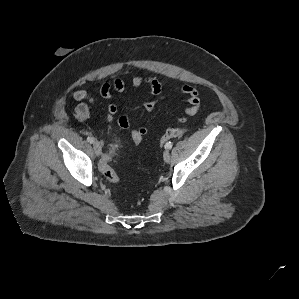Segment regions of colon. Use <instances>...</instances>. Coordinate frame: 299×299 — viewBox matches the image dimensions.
Masks as SVG:
<instances>
[{"label": "colon", "mask_w": 299, "mask_h": 299, "mask_svg": "<svg viewBox=\"0 0 299 299\" xmlns=\"http://www.w3.org/2000/svg\"><path fill=\"white\" fill-rule=\"evenodd\" d=\"M186 132H187L186 127L170 128L160 138V144H164L169 140L182 137ZM144 136L145 133L138 127L131 131V140L133 144L136 146L141 144ZM119 147H120V141L117 140L111 145L109 152L104 156V158L102 159L99 165L103 177L106 179L107 182L111 184H115L119 181V176L117 172L110 164L112 158L116 154Z\"/></svg>", "instance_id": "1"}]
</instances>
